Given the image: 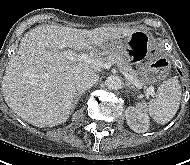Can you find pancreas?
<instances>
[{"mask_svg":"<svg viewBox=\"0 0 190 165\" xmlns=\"http://www.w3.org/2000/svg\"><path fill=\"white\" fill-rule=\"evenodd\" d=\"M103 63H111L116 65L121 71H125L132 75L140 84H143L142 80L138 77V73L132 69V67L124 60V58L116 52L110 53L107 56L100 55L97 57Z\"/></svg>","mask_w":190,"mask_h":165,"instance_id":"cf45deb5","label":"pancreas"}]
</instances>
